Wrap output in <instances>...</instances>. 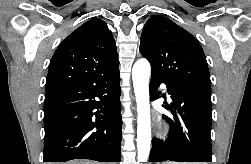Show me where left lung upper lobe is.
Instances as JSON below:
<instances>
[{
  "instance_id": "5c2ea615",
  "label": "left lung upper lobe",
  "mask_w": 251,
  "mask_h": 164,
  "mask_svg": "<svg viewBox=\"0 0 251 164\" xmlns=\"http://www.w3.org/2000/svg\"><path fill=\"white\" fill-rule=\"evenodd\" d=\"M140 52L151 72L211 92L210 74L203 49L185 29L155 15L145 24Z\"/></svg>"
}]
</instances>
